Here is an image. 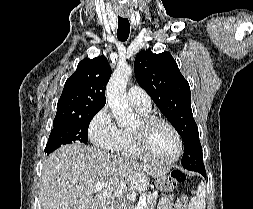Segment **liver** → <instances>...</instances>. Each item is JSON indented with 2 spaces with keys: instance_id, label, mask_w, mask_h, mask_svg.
Listing matches in <instances>:
<instances>
[{
  "instance_id": "1",
  "label": "liver",
  "mask_w": 253,
  "mask_h": 209,
  "mask_svg": "<svg viewBox=\"0 0 253 209\" xmlns=\"http://www.w3.org/2000/svg\"><path fill=\"white\" fill-rule=\"evenodd\" d=\"M168 171L80 143L61 146L43 162L41 209H110L119 190H142L148 176L158 178ZM97 182L106 185L94 192Z\"/></svg>"
}]
</instances>
